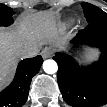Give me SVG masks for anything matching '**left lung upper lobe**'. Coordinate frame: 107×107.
I'll return each instance as SVG.
<instances>
[{"label": "left lung upper lobe", "mask_w": 107, "mask_h": 107, "mask_svg": "<svg viewBox=\"0 0 107 107\" xmlns=\"http://www.w3.org/2000/svg\"><path fill=\"white\" fill-rule=\"evenodd\" d=\"M82 7L84 9V15H85L88 23L94 22L100 18L107 17L106 12L102 11L100 8L94 6L90 3L83 2Z\"/></svg>", "instance_id": "5c2ea615"}]
</instances>
